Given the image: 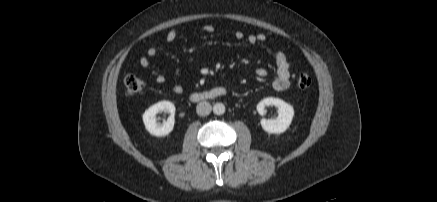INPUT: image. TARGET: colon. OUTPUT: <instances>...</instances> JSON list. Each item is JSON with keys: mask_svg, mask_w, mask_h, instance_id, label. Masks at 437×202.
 Returning a JSON list of instances; mask_svg holds the SVG:
<instances>
[{"mask_svg": "<svg viewBox=\"0 0 437 202\" xmlns=\"http://www.w3.org/2000/svg\"><path fill=\"white\" fill-rule=\"evenodd\" d=\"M125 88L128 94L137 95L147 88V81L134 74H129L124 79ZM298 87L302 90L308 89L312 84V79L308 74H300L297 80Z\"/></svg>", "mask_w": 437, "mask_h": 202, "instance_id": "1", "label": "colon"}]
</instances>
